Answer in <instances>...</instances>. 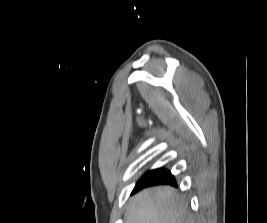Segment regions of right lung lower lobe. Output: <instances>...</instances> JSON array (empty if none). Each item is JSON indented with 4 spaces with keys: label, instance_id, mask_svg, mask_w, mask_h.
Masks as SVG:
<instances>
[{
    "label": "right lung lower lobe",
    "instance_id": "1",
    "mask_svg": "<svg viewBox=\"0 0 267 223\" xmlns=\"http://www.w3.org/2000/svg\"><path fill=\"white\" fill-rule=\"evenodd\" d=\"M159 184H170L176 185V181L174 176L170 173H162L159 171H150L146 173L136 184V187L133 192H136L143 187H148L152 185Z\"/></svg>",
    "mask_w": 267,
    "mask_h": 223
}]
</instances>
